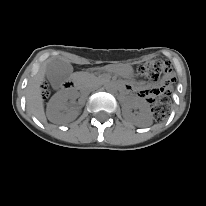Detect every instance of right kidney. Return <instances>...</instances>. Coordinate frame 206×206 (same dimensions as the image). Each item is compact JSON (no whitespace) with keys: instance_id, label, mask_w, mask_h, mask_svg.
<instances>
[{"instance_id":"right-kidney-1","label":"right kidney","mask_w":206,"mask_h":206,"mask_svg":"<svg viewBox=\"0 0 206 206\" xmlns=\"http://www.w3.org/2000/svg\"><path fill=\"white\" fill-rule=\"evenodd\" d=\"M76 94L57 93L47 105V117L54 123H66L74 120L78 111L70 108L67 104L68 99H75Z\"/></svg>"}]
</instances>
